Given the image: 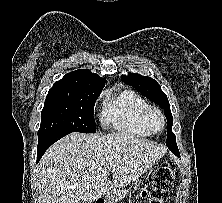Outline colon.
Instances as JSON below:
<instances>
[{"label":"colon","instance_id":"obj_1","mask_svg":"<svg viewBox=\"0 0 222 203\" xmlns=\"http://www.w3.org/2000/svg\"><path fill=\"white\" fill-rule=\"evenodd\" d=\"M176 170L175 164L171 161H166L158 167L150 187L143 192V196L149 200V203H164L169 186L175 178Z\"/></svg>","mask_w":222,"mask_h":203}]
</instances>
